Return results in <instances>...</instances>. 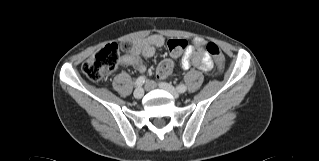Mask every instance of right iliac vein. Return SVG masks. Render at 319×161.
<instances>
[{"label": "right iliac vein", "mask_w": 319, "mask_h": 161, "mask_svg": "<svg viewBox=\"0 0 319 161\" xmlns=\"http://www.w3.org/2000/svg\"><path fill=\"white\" fill-rule=\"evenodd\" d=\"M143 95H144V90H143V88H141V87L137 88V89L134 91V97H135L136 99L142 98Z\"/></svg>", "instance_id": "right-iliac-vein-1"}]
</instances>
